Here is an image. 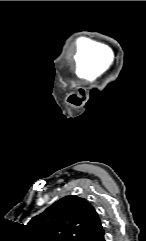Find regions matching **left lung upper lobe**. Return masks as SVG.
<instances>
[{
  "label": "left lung upper lobe",
  "mask_w": 146,
  "mask_h": 241,
  "mask_svg": "<svg viewBox=\"0 0 146 241\" xmlns=\"http://www.w3.org/2000/svg\"><path fill=\"white\" fill-rule=\"evenodd\" d=\"M100 225L94 207L75 195L61 198L28 223L36 241H81Z\"/></svg>",
  "instance_id": "left-lung-upper-lobe-1"
}]
</instances>
